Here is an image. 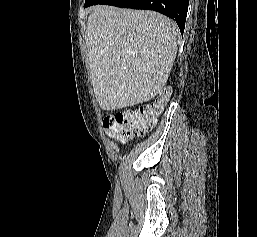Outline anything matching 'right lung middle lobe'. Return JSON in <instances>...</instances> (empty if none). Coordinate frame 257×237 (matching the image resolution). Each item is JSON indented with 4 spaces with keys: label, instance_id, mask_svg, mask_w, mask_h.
Returning <instances> with one entry per match:
<instances>
[{
    "label": "right lung middle lobe",
    "instance_id": "right-lung-middle-lobe-1",
    "mask_svg": "<svg viewBox=\"0 0 257 237\" xmlns=\"http://www.w3.org/2000/svg\"><path fill=\"white\" fill-rule=\"evenodd\" d=\"M105 1L106 0H85L84 7H89V6L96 5V4H102Z\"/></svg>",
    "mask_w": 257,
    "mask_h": 237
}]
</instances>
